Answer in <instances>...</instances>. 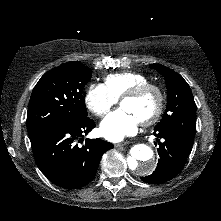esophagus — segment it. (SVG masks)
Listing matches in <instances>:
<instances>
[{
    "label": "esophagus",
    "instance_id": "34e87169",
    "mask_svg": "<svg viewBox=\"0 0 221 221\" xmlns=\"http://www.w3.org/2000/svg\"><path fill=\"white\" fill-rule=\"evenodd\" d=\"M129 143H130L129 141H125V142H122V143H117V144H115V147L116 148H120V147H123V146H125V145H127Z\"/></svg>",
    "mask_w": 221,
    "mask_h": 221
}]
</instances>
